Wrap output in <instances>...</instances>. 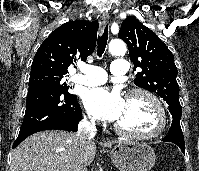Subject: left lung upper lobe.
I'll list each match as a JSON object with an SVG mask.
<instances>
[{
    "label": "left lung upper lobe",
    "mask_w": 199,
    "mask_h": 171,
    "mask_svg": "<svg viewBox=\"0 0 199 171\" xmlns=\"http://www.w3.org/2000/svg\"><path fill=\"white\" fill-rule=\"evenodd\" d=\"M118 37L129 49L130 59L142 69L134 80L135 85L156 93L166 101L173 118L181 119L177 67L174 56L158 36L134 17L126 18Z\"/></svg>",
    "instance_id": "obj_1"
}]
</instances>
